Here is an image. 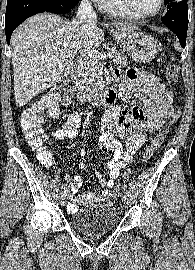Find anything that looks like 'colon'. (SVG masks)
<instances>
[{"label": "colon", "mask_w": 195, "mask_h": 270, "mask_svg": "<svg viewBox=\"0 0 195 270\" xmlns=\"http://www.w3.org/2000/svg\"><path fill=\"white\" fill-rule=\"evenodd\" d=\"M166 73L172 82L179 80L180 72L177 66L169 64L166 67ZM74 90V84L68 82L64 85L54 88L39 103L26 109L20 120L21 128L29 144L38 150L40 160L49 164L51 162V153L43 147L45 135L41 128L42 115L55 107L66 105L70 100V95ZM180 117V111L176 110L170 117L166 128L156 136L151 145L145 150L142 158V164L147 163L153 156L156 149L163 143L170 130L176 125ZM122 193V187L114 189V196L119 197Z\"/></svg>", "instance_id": "1"}]
</instances>
